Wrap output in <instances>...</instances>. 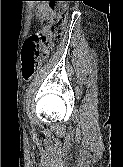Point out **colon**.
<instances>
[{
  "mask_svg": "<svg viewBox=\"0 0 123 167\" xmlns=\"http://www.w3.org/2000/svg\"><path fill=\"white\" fill-rule=\"evenodd\" d=\"M39 18L43 25L36 34L30 35L24 42L22 51V76L29 80L39 63L45 59L52 48V38L60 35L65 27L67 10L63 5L42 7Z\"/></svg>",
  "mask_w": 123,
  "mask_h": 167,
  "instance_id": "5ec220e1",
  "label": "colon"
}]
</instances>
